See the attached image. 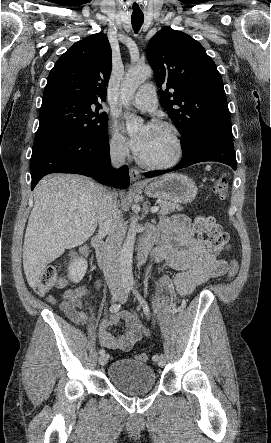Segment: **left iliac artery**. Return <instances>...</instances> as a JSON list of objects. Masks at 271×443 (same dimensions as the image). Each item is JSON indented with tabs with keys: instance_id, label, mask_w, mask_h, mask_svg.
<instances>
[{
	"instance_id": "obj_1",
	"label": "left iliac artery",
	"mask_w": 271,
	"mask_h": 443,
	"mask_svg": "<svg viewBox=\"0 0 271 443\" xmlns=\"http://www.w3.org/2000/svg\"><path fill=\"white\" fill-rule=\"evenodd\" d=\"M130 288L133 291L134 296L137 298L140 305L142 306L146 317L149 318L150 317V310H149V307H148L146 301L143 299V297L140 295V293L133 286H131ZM158 358H159L158 355H154L152 359L154 361H158Z\"/></svg>"
}]
</instances>
